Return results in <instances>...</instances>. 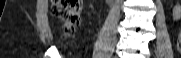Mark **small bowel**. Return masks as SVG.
Here are the masks:
<instances>
[{"instance_id": "obj_1", "label": "small bowel", "mask_w": 181, "mask_h": 58, "mask_svg": "<svg viewBox=\"0 0 181 58\" xmlns=\"http://www.w3.org/2000/svg\"><path fill=\"white\" fill-rule=\"evenodd\" d=\"M173 18L178 20L181 18V6L175 5L173 8Z\"/></svg>"}]
</instances>
